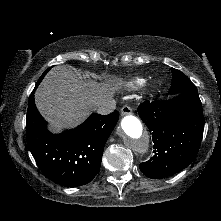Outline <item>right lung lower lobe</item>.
<instances>
[{
    "label": "right lung lower lobe",
    "mask_w": 221,
    "mask_h": 221,
    "mask_svg": "<svg viewBox=\"0 0 221 221\" xmlns=\"http://www.w3.org/2000/svg\"><path fill=\"white\" fill-rule=\"evenodd\" d=\"M29 97L26 137L29 149L43 171L53 182L77 187L89 183L98 174L105 143L119 119V112L109 115L93 113L73 130L52 134L38 112L34 93Z\"/></svg>",
    "instance_id": "1"
}]
</instances>
